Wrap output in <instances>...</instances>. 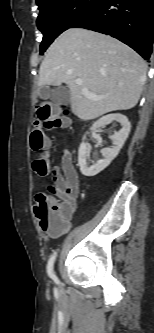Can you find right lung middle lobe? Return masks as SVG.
Returning <instances> with one entry per match:
<instances>
[{
    "instance_id": "dd1d6c3e",
    "label": "right lung middle lobe",
    "mask_w": 154,
    "mask_h": 333,
    "mask_svg": "<svg viewBox=\"0 0 154 333\" xmlns=\"http://www.w3.org/2000/svg\"><path fill=\"white\" fill-rule=\"evenodd\" d=\"M101 0H39L38 29L43 33L40 54L63 31L88 15Z\"/></svg>"
}]
</instances>
